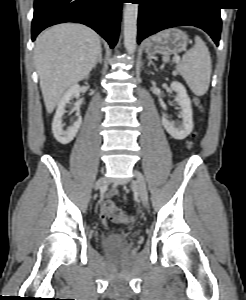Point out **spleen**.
Returning a JSON list of instances; mask_svg holds the SVG:
<instances>
[{"label": "spleen", "mask_w": 246, "mask_h": 300, "mask_svg": "<svg viewBox=\"0 0 246 300\" xmlns=\"http://www.w3.org/2000/svg\"><path fill=\"white\" fill-rule=\"evenodd\" d=\"M163 61L169 62V56H163ZM176 70L195 95L202 96L208 91L212 63L210 52L200 37H195V45L183 55Z\"/></svg>", "instance_id": "spleen-1"}]
</instances>
